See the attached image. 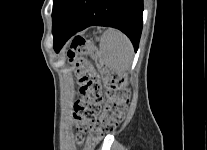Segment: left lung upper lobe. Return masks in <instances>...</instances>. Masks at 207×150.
Wrapping results in <instances>:
<instances>
[{"instance_id": "obj_1", "label": "left lung upper lobe", "mask_w": 207, "mask_h": 150, "mask_svg": "<svg viewBox=\"0 0 207 150\" xmlns=\"http://www.w3.org/2000/svg\"><path fill=\"white\" fill-rule=\"evenodd\" d=\"M67 0H54L53 1V11H52V19H53V25L56 22L62 7L64 6L65 2Z\"/></svg>"}]
</instances>
